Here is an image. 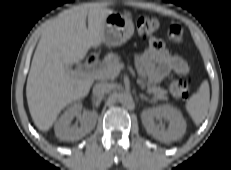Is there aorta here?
Here are the masks:
<instances>
[{"label":"aorta","instance_id":"aorta-1","mask_svg":"<svg viewBox=\"0 0 231 170\" xmlns=\"http://www.w3.org/2000/svg\"><path fill=\"white\" fill-rule=\"evenodd\" d=\"M132 96L128 92L118 94V101L122 104L128 105L132 102Z\"/></svg>","mask_w":231,"mask_h":170}]
</instances>
